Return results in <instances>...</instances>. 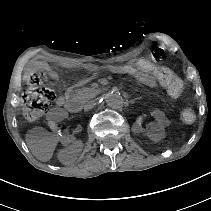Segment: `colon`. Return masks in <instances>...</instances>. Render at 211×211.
<instances>
[{"instance_id":"obj_1","label":"colon","mask_w":211,"mask_h":211,"mask_svg":"<svg viewBox=\"0 0 211 211\" xmlns=\"http://www.w3.org/2000/svg\"><path fill=\"white\" fill-rule=\"evenodd\" d=\"M132 68L139 74L155 76L169 89L172 95H178L181 91L180 82L165 67L140 59L132 64ZM54 100L55 93L53 90L44 84L39 75H32L29 88L23 96L22 116L24 122L33 123L39 120L47 112ZM195 118V112L192 109H184L181 112V119L186 124L193 123Z\"/></svg>"}]
</instances>
